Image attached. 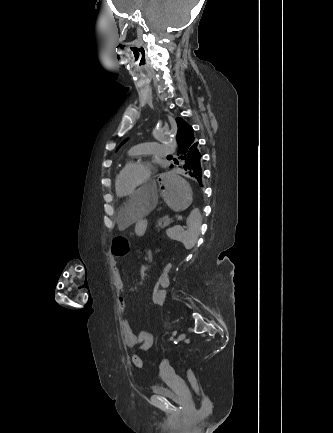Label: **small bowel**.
I'll use <instances>...</instances> for the list:
<instances>
[{
	"instance_id": "obj_1",
	"label": "small bowel",
	"mask_w": 333,
	"mask_h": 433,
	"mask_svg": "<svg viewBox=\"0 0 333 433\" xmlns=\"http://www.w3.org/2000/svg\"><path fill=\"white\" fill-rule=\"evenodd\" d=\"M148 257H151V252H148ZM161 275V274H160ZM116 288L120 291L123 292V277H122V273L121 270L118 266H116ZM159 280V278H158ZM162 285L159 286L160 289V294H161V305L165 302L166 296H167V289L170 285V276H169V272H168V276L164 278V280H162ZM157 285V283H156ZM118 304H119V309L120 311L123 313L125 308H126V299L123 295H121L119 297L118 300ZM120 333H121V337H122V341L123 344L128 347V348H135V347H139L142 351H148L152 348L153 346V336L146 332V331H141L139 333H135L134 330L132 329L130 323L125 320V319H121L120 323Z\"/></svg>"
}]
</instances>
